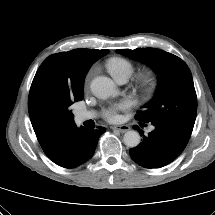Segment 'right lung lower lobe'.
Masks as SVG:
<instances>
[{"label": "right lung lower lobe", "instance_id": "obj_1", "mask_svg": "<svg viewBox=\"0 0 215 215\" xmlns=\"http://www.w3.org/2000/svg\"><path fill=\"white\" fill-rule=\"evenodd\" d=\"M104 127L92 130L81 126L74 127L63 138L49 159L64 168H74L88 161L94 154Z\"/></svg>", "mask_w": 215, "mask_h": 215}]
</instances>
